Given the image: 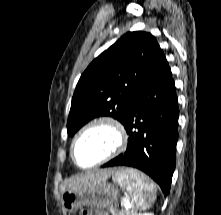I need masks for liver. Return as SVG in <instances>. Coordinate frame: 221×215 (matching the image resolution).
<instances>
[{"label":"liver","instance_id":"6515ba94","mask_svg":"<svg viewBox=\"0 0 221 215\" xmlns=\"http://www.w3.org/2000/svg\"><path fill=\"white\" fill-rule=\"evenodd\" d=\"M112 169H104L96 172H89L80 176L72 177L62 185V192L66 189H84L100 182L106 181L111 174Z\"/></svg>","mask_w":221,"mask_h":215}]
</instances>
